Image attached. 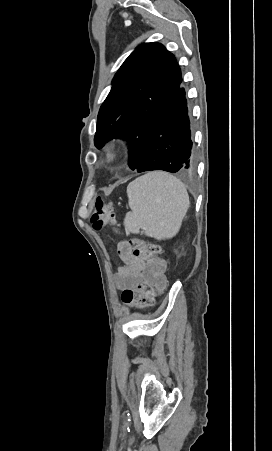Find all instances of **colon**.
I'll return each mask as SVG.
<instances>
[{
    "label": "colon",
    "instance_id": "5ec220e1",
    "mask_svg": "<svg viewBox=\"0 0 272 451\" xmlns=\"http://www.w3.org/2000/svg\"><path fill=\"white\" fill-rule=\"evenodd\" d=\"M115 226L117 225V215L113 210L112 204L106 202L103 197L96 199L95 211L90 217L93 228L97 231L102 230L106 222ZM131 248V258H148V256L160 255V248L156 244L148 245L146 242L133 239L130 243H124L120 249ZM157 271L154 269L149 274L147 282L139 284L136 288H127L123 290L120 301L128 306H136L138 308L148 306L159 286L156 284Z\"/></svg>",
    "mask_w": 272,
    "mask_h": 451
}]
</instances>
